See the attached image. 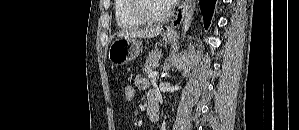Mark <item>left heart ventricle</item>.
<instances>
[{"mask_svg": "<svg viewBox=\"0 0 299 130\" xmlns=\"http://www.w3.org/2000/svg\"><path fill=\"white\" fill-rule=\"evenodd\" d=\"M148 10L153 15H163L167 12L168 4L161 0H151L147 3Z\"/></svg>", "mask_w": 299, "mask_h": 130, "instance_id": "obj_1", "label": "left heart ventricle"}]
</instances>
